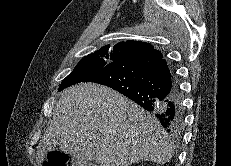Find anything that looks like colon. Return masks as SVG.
I'll return each mask as SVG.
<instances>
[{
	"label": "colon",
	"mask_w": 231,
	"mask_h": 166,
	"mask_svg": "<svg viewBox=\"0 0 231 166\" xmlns=\"http://www.w3.org/2000/svg\"><path fill=\"white\" fill-rule=\"evenodd\" d=\"M69 157L61 151H52L48 154L44 166H67Z\"/></svg>",
	"instance_id": "5ec220e1"
}]
</instances>
